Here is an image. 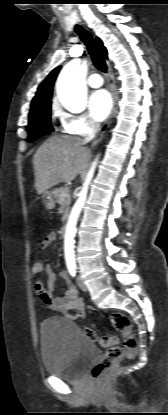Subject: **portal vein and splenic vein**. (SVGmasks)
Here are the masks:
<instances>
[{
	"label": "portal vein and splenic vein",
	"mask_w": 168,
	"mask_h": 415,
	"mask_svg": "<svg viewBox=\"0 0 168 415\" xmlns=\"http://www.w3.org/2000/svg\"><path fill=\"white\" fill-rule=\"evenodd\" d=\"M67 195L68 194L66 192L61 194L62 197H66Z\"/></svg>",
	"instance_id": "1"
}]
</instances>
